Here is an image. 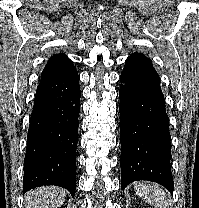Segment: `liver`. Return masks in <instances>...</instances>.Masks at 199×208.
I'll return each mask as SVG.
<instances>
[{"instance_id": "6515ba94", "label": "liver", "mask_w": 199, "mask_h": 208, "mask_svg": "<svg viewBox=\"0 0 199 208\" xmlns=\"http://www.w3.org/2000/svg\"><path fill=\"white\" fill-rule=\"evenodd\" d=\"M66 191L56 186L39 187L27 193L25 208H60Z\"/></svg>"}]
</instances>
